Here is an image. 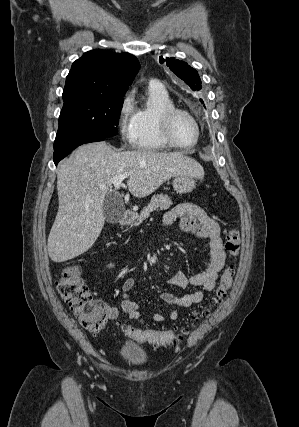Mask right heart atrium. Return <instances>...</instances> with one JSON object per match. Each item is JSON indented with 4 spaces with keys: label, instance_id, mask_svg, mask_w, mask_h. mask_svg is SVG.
Returning a JSON list of instances; mask_svg holds the SVG:
<instances>
[{
    "label": "right heart atrium",
    "instance_id": "d8ad5b80",
    "mask_svg": "<svg viewBox=\"0 0 299 427\" xmlns=\"http://www.w3.org/2000/svg\"><path fill=\"white\" fill-rule=\"evenodd\" d=\"M117 126L121 140L127 144H133L135 139V106L133 96L127 93L118 107Z\"/></svg>",
    "mask_w": 299,
    "mask_h": 427
}]
</instances>
